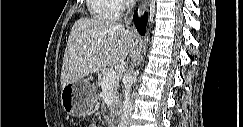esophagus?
<instances>
[{
  "label": "esophagus",
  "instance_id": "obj_1",
  "mask_svg": "<svg viewBox=\"0 0 243 127\" xmlns=\"http://www.w3.org/2000/svg\"><path fill=\"white\" fill-rule=\"evenodd\" d=\"M149 3L150 1L149 0H143L141 5H140V13H144L147 9H148V6H149Z\"/></svg>",
  "mask_w": 243,
  "mask_h": 127
}]
</instances>
